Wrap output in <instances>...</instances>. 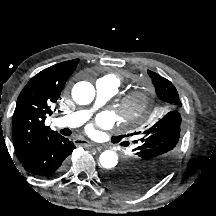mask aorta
<instances>
[{
	"label": "aorta",
	"mask_w": 216,
	"mask_h": 216,
	"mask_svg": "<svg viewBox=\"0 0 216 216\" xmlns=\"http://www.w3.org/2000/svg\"><path fill=\"white\" fill-rule=\"evenodd\" d=\"M73 100L79 105L91 103L95 97V89L89 82H78L72 89ZM99 162L104 169H112L118 164V156L112 150L101 153Z\"/></svg>",
	"instance_id": "aorta-1"
}]
</instances>
